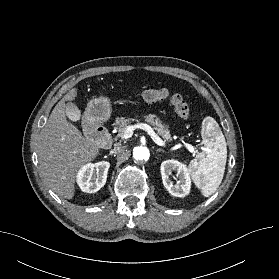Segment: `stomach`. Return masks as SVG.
I'll use <instances>...</instances> for the list:
<instances>
[{
	"mask_svg": "<svg viewBox=\"0 0 279 279\" xmlns=\"http://www.w3.org/2000/svg\"><path fill=\"white\" fill-rule=\"evenodd\" d=\"M111 102L109 97L100 96L92 99L86 108L84 120L89 125H98L110 118Z\"/></svg>",
	"mask_w": 279,
	"mask_h": 279,
	"instance_id": "1",
	"label": "stomach"
}]
</instances>
